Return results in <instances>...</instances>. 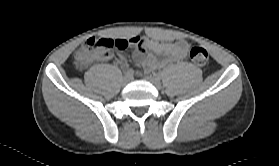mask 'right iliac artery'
<instances>
[{
    "label": "right iliac artery",
    "instance_id": "1",
    "mask_svg": "<svg viewBox=\"0 0 279 166\" xmlns=\"http://www.w3.org/2000/svg\"><path fill=\"white\" fill-rule=\"evenodd\" d=\"M127 76H133L134 71L132 69H128L125 73Z\"/></svg>",
    "mask_w": 279,
    "mask_h": 166
}]
</instances>
